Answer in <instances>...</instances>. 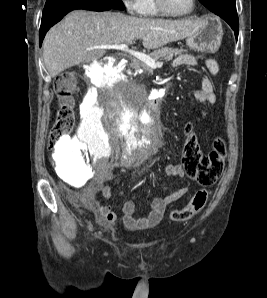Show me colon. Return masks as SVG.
Wrapping results in <instances>:
<instances>
[{"mask_svg": "<svg viewBox=\"0 0 267 298\" xmlns=\"http://www.w3.org/2000/svg\"><path fill=\"white\" fill-rule=\"evenodd\" d=\"M55 91L59 100V108L50 133V149L58 153L62 146L67 145L71 148L68 137L75 125L73 96L77 91L76 75L72 72L60 74L55 80ZM184 135L185 140L181 151L182 165L188 177L201 188L184 208L171 212V219L176 222L186 221L204 208L209 195L208 187L212 186L222 173L227 152L224 140L217 138L212 150L204 153L188 122L184 125Z\"/></svg>", "mask_w": 267, "mask_h": 298, "instance_id": "colon-1", "label": "colon"}]
</instances>
